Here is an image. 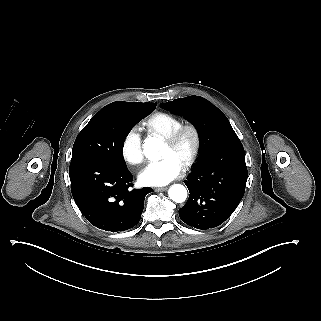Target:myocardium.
<instances>
[{
  "label": "myocardium",
  "instance_id": "obj_1",
  "mask_svg": "<svg viewBox=\"0 0 321 321\" xmlns=\"http://www.w3.org/2000/svg\"><path fill=\"white\" fill-rule=\"evenodd\" d=\"M187 136L191 137V146L187 151H184L183 142ZM162 138L173 151L183 154L184 169H189L193 166L200 155L202 147V136L197 125L194 123L183 124L170 135Z\"/></svg>",
  "mask_w": 321,
  "mask_h": 321
}]
</instances>
